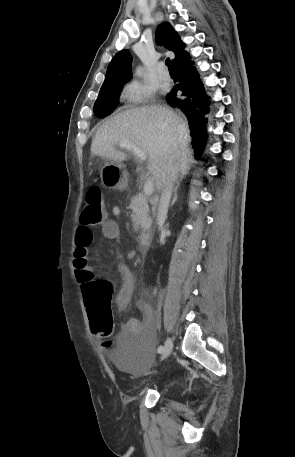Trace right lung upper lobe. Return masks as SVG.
Returning <instances> with one entry per match:
<instances>
[{
    "label": "right lung upper lobe",
    "mask_w": 295,
    "mask_h": 457,
    "mask_svg": "<svg viewBox=\"0 0 295 457\" xmlns=\"http://www.w3.org/2000/svg\"><path fill=\"white\" fill-rule=\"evenodd\" d=\"M155 38L159 45L162 44L175 53V59L184 52L185 44L168 22H164L158 26ZM131 63L132 56L127 49L118 52L108 66L106 78L100 91L111 90L127 83L132 75Z\"/></svg>",
    "instance_id": "obj_1"
}]
</instances>
